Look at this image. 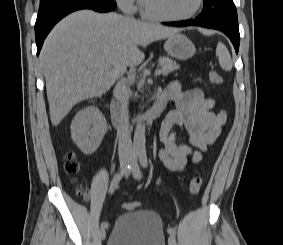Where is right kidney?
Segmentation results:
<instances>
[{
  "mask_svg": "<svg viewBox=\"0 0 283 245\" xmlns=\"http://www.w3.org/2000/svg\"><path fill=\"white\" fill-rule=\"evenodd\" d=\"M106 131V119L94 106L79 111L71 123V137L79 149L87 155L97 150Z\"/></svg>",
  "mask_w": 283,
  "mask_h": 245,
  "instance_id": "right-kidney-1",
  "label": "right kidney"
}]
</instances>
